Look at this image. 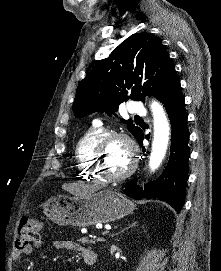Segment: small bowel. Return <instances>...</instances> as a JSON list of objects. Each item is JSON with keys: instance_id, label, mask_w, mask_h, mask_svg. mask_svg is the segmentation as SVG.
<instances>
[{"instance_id": "1", "label": "small bowel", "mask_w": 221, "mask_h": 271, "mask_svg": "<svg viewBox=\"0 0 221 271\" xmlns=\"http://www.w3.org/2000/svg\"><path fill=\"white\" fill-rule=\"evenodd\" d=\"M42 245H43V241L40 239H36L33 245H29L23 249L16 248L12 252V259L15 261V260H18L22 255H29L32 253L33 247L39 248ZM52 245L55 250L73 251L82 255L83 257L87 255L96 256L94 251L70 239H55L53 240ZM77 271H81V269H77Z\"/></svg>"}]
</instances>
